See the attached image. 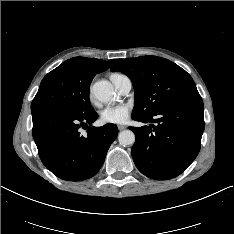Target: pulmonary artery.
Returning a JSON list of instances; mask_svg holds the SVG:
<instances>
[{"label": "pulmonary artery", "mask_w": 234, "mask_h": 234, "mask_svg": "<svg viewBox=\"0 0 234 234\" xmlns=\"http://www.w3.org/2000/svg\"><path fill=\"white\" fill-rule=\"evenodd\" d=\"M112 82L114 83L119 93L122 95L128 94L129 91L131 90L132 87L131 80L125 75L119 77L117 80H112Z\"/></svg>", "instance_id": "pulmonary-artery-1"}]
</instances>
